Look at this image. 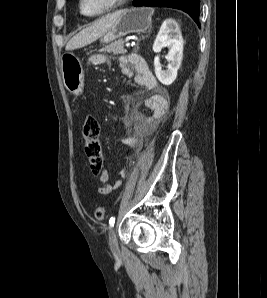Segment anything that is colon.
Returning <instances> with one entry per match:
<instances>
[{
  "mask_svg": "<svg viewBox=\"0 0 267 298\" xmlns=\"http://www.w3.org/2000/svg\"><path fill=\"white\" fill-rule=\"evenodd\" d=\"M82 144L89 159L91 170L98 174L103 167L104 154L100 140V123L92 116L86 117L82 127ZM94 216L97 220H104L106 217L105 208L96 207Z\"/></svg>",
  "mask_w": 267,
  "mask_h": 298,
  "instance_id": "1",
  "label": "colon"
}]
</instances>
